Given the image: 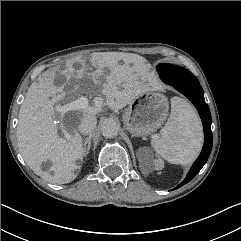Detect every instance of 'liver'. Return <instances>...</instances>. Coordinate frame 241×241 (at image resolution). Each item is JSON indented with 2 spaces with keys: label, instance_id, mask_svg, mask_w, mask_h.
I'll list each match as a JSON object with an SVG mask.
<instances>
[{
  "label": "liver",
  "instance_id": "6515ba94",
  "mask_svg": "<svg viewBox=\"0 0 241 241\" xmlns=\"http://www.w3.org/2000/svg\"><path fill=\"white\" fill-rule=\"evenodd\" d=\"M90 62L96 68L95 71L88 73L84 63L80 69L75 70L74 62H68L63 73L68 78L90 80L95 86H100L111 110L124 108L140 94L150 90V64L139 55L121 52L93 53ZM105 68L109 69L108 74H104ZM54 77L55 71H46L37 82L30 85L19 110L17 142L23 159L36 174L52 183L64 184L76 178L75 171L81 168L78 161L85 156L83 139L77 131V125L84 114H98L103 100L94 98L93 103L86 108L66 110L64 120L69 122L75 118V127L71 128L72 135L60 138L54 122V105L66 96L70 99L80 88L79 85H74L73 90L70 87L56 86ZM47 159L52 161L53 175L40 169L42 162Z\"/></svg>",
  "mask_w": 241,
  "mask_h": 241
}]
</instances>
